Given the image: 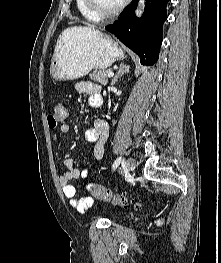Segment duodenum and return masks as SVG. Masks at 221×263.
I'll return each instance as SVG.
<instances>
[{"instance_id":"410a0bca","label":"duodenum","mask_w":221,"mask_h":263,"mask_svg":"<svg viewBox=\"0 0 221 263\" xmlns=\"http://www.w3.org/2000/svg\"><path fill=\"white\" fill-rule=\"evenodd\" d=\"M101 104L97 105L96 108L100 107Z\"/></svg>"}]
</instances>
